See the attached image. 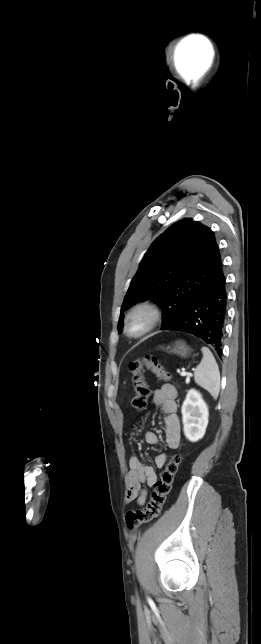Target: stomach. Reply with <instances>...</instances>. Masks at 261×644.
<instances>
[{"label": "stomach", "mask_w": 261, "mask_h": 644, "mask_svg": "<svg viewBox=\"0 0 261 644\" xmlns=\"http://www.w3.org/2000/svg\"><path fill=\"white\" fill-rule=\"evenodd\" d=\"M167 350H170V352L177 354L183 358H186L191 352V349L186 345L184 341L175 342L172 347L168 346Z\"/></svg>", "instance_id": "stomach-1"}]
</instances>
